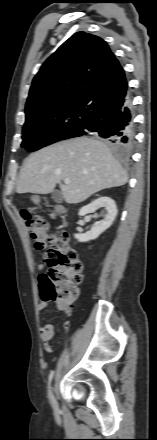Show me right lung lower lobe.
Returning <instances> with one entry per match:
<instances>
[{"label":"right lung lower lobe","instance_id":"obj_1","mask_svg":"<svg viewBox=\"0 0 157 440\" xmlns=\"http://www.w3.org/2000/svg\"><path fill=\"white\" fill-rule=\"evenodd\" d=\"M97 132L102 138L111 143L129 149L134 142V126L132 120V106L129 95L117 105L106 108L95 114L84 125L82 135Z\"/></svg>","mask_w":157,"mask_h":440}]
</instances>
